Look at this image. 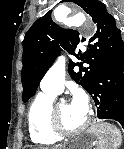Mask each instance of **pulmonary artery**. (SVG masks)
Returning <instances> with one entry per match:
<instances>
[{
    "label": "pulmonary artery",
    "mask_w": 124,
    "mask_h": 149,
    "mask_svg": "<svg viewBox=\"0 0 124 149\" xmlns=\"http://www.w3.org/2000/svg\"><path fill=\"white\" fill-rule=\"evenodd\" d=\"M65 82V60L60 57L47 71L44 76L41 88L44 91L61 93Z\"/></svg>",
    "instance_id": "1"
}]
</instances>
